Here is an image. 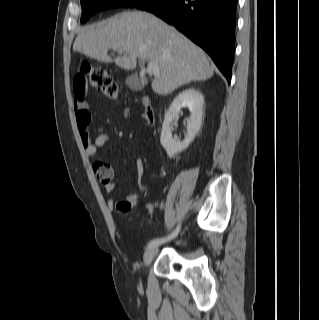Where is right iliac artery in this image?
Returning <instances> with one entry per match:
<instances>
[{
    "instance_id": "obj_1",
    "label": "right iliac artery",
    "mask_w": 319,
    "mask_h": 320,
    "mask_svg": "<svg viewBox=\"0 0 319 320\" xmlns=\"http://www.w3.org/2000/svg\"><path fill=\"white\" fill-rule=\"evenodd\" d=\"M179 230H180V227L178 226V227L176 228V230H175L172 234H170V235H168V236H166V237L153 239V240L150 241V243L148 244V248L157 247L158 245H161V244H163V243H165V242H167V241L175 238V237L177 236Z\"/></svg>"
}]
</instances>
